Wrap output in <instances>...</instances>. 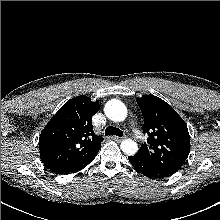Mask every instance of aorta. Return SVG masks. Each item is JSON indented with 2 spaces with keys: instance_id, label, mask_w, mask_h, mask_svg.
Listing matches in <instances>:
<instances>
[{
  "instance_id": "1",
  "label": "aorta",
  "mask_w": 220,
  "mask_h": 220,
  "mask_svg": "<svg viewBox=\"0 0 220 220\" xmlns=\"http://www.w3.org/2000/svg\"><path fill=\"white\" fill-rule=\"evenodd\" d=\"M105 115L112 121L121 122L125 120L127 116V109L124 103L120 100H110L106 103L104 108ZM121 150L129 155L133 156L138 151L137 143L132 139H126L121 143Z\"/></svg>"
}]
</instances>
